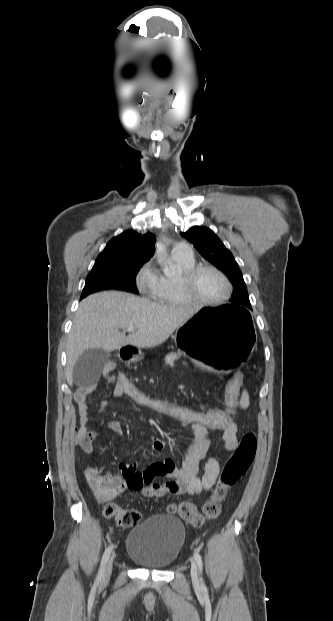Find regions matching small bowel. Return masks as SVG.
I'll return each instance as SVG.
<instances>
[{"label":"small bowel","instance_id":"obj_1","mask_svg":"<svg viewBox=\"0 0 333 621\" xmlns=\"http://www.w3.org/2000/svg\"><path fill=\"white\" fill-rule=\"evenodd\" d=\"M109 379L114 382V377L109 376ZM94 390V384H85L80 386L75 393L80 422V428L77 431V442L86 452L92 451L99 436L97 432L90 431L87 427L90 420L88 398ZM113 394L116 397L122 396V392L115 383ZM248 402L247 392L242 391L239 398V408H246ZM106 404V401L100 403L99 413L104 411ZM185 426L191 428L193 439L184 449L182 464L176 466L174 460L170 457L156 461L143 470L139 469L140 463L138 461L122 464L120 466L122 477L116 474H107L108 477L118 484L114 497L127 489L139 491L143 496L149 498L182 494L199 495L204 491L210 490L220 474V457L213 456L208 458L204 472L200 476L198 474L200 463L205 458L209 448L207 427L202 425ZM106 428L118 436L122 435V427L118 421L112 420L108 422ZM221 429L223 430L224 450L227 452L234 451L238 445V425L236 421L230 422ZM164 448L165 442L163 440L158 437L151 438L150 449L153 453H159ZM159 478H164V480L161 481ZM128 479L133 482L131 487L126 485Z\"/></svg>","mask_w":333,"mask_h":621}]
</instances>
